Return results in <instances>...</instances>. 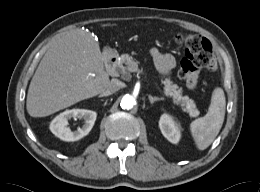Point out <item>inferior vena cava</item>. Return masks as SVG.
<instances>
[{"label": "inferior vena cava", "instance_id": "602c4592", "mask_svg": "<svg viewBox=\"0 0 260 192\" xmlns=\"http://www.w3.org/2000/svg\"><path fill=\"white\" fill-rule=\"evenodd\" d=\"M123 87V82H121L118 79H112L105 91H103L101 94L103 95H111L118 90H120Z\"/></svg>", "mask_w": 260, "mask_h": 192}]
</instances>
